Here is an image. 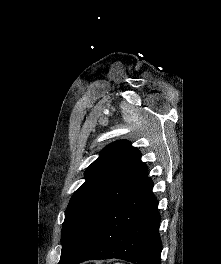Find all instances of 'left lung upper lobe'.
I'll return each instance as SVG.
<instances>
[{
  "label": "left lung upper lobe",
  "mask_w": 221,
  "mask_h": 264,
  "mask_svg": "<svg viewBox=\"0 0 221 264\" xmlns=\"http://www.w3.org/2000/svg\"><path fill=\"white\" fill-rule=\"evenodd\" d=\"M148 175L141 153L129 141L104 148L86 169L84 184L75 191L65 211L61 258L67 256L88 233Z\"/></svg>",
  "instance_id": "5c2ea615"
}]
</instances>
